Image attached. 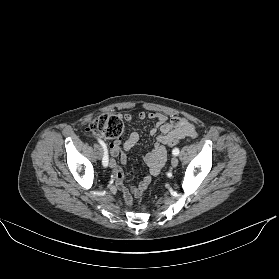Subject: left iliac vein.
<instances>
[{"label":"left iliac vein","instance_id":"left-iliac-vein-1","mask_svg":"<svg viewBox=\"0 0 279 279\" xmlns=\"http://www.w3.org/2000/svg\"><path fill=\"white\" fill-rule=\"evenodd\" d=\"M178 162H179V161H178V158L174 156V157L171 159V166H172L173 168L177 167Z\"/></svg>","mask_w":279,"mask_h":279}]
</instances>
